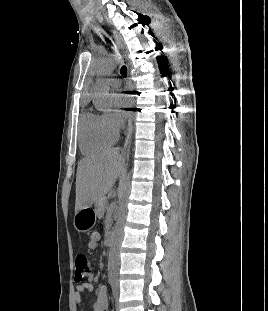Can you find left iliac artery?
I'll return each instance as SVG.
<instances>
[{
	"label": "left iliac artery",
	"instance_id": "44dca946",
	"mask_svg": "<svg viewBox=\"0 0 268 311\" xmlns=\"http://www.w3.org/2000/svg\"><path fill=\"white\" fill-rule=\"evenodd\" d=\"M111 285H112L113 297H114L115 299H117V297H118V284H117V282H116L115 280H113V281L111 282Z\"/></svg>",
	"mask_w": 268,
	"mask_h": 311
}]
</instances>
